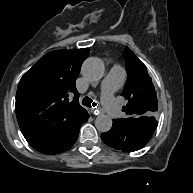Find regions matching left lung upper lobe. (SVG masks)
Wrapping results in <instances>:
<instances>
[{
	"mask_svg": "<svg viewBox=\"0 0 193 193\" xmlns=\"http://www.w3.org/2000/svg\"><path fill=\"white\" fill-rule=\"evenodd\" d=\"M124 58L128 79L121 95L128 99V104L123 107L128 117L120 120H156L157 97L146 66L128 47L125 49Z\"/></svg>",
	"mask_w": 193,
	"mask_h": 193,
	"instance_id": "left-lung-upper-lobe-1",
	"label": "left lung upper lobe"
}]
</instances>
